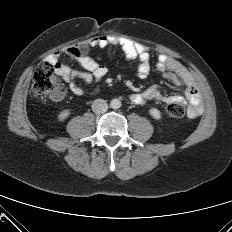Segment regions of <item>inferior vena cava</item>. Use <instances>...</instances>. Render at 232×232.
Instances as JSON below:
<instances>
[{"label": "inferior vena cava", "mask_w": 232, "mask_h": 232, "mask_svg": "<svg viewBox=\"0 0 232 232\" xmlns=\"http://www.w3.org/2000/svg\"><path fill=\"white\" fill-rule=\"evenodd\" d=\"M108 104L103 99H96L92 103V111L96 114H103L107 111Z\"/></svg>", "instance_id": "obj_1"}]
</instances>
